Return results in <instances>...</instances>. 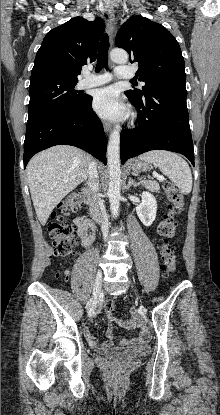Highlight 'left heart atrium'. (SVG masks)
Wrapping results in <instances>:
<instances>
[{
	"instance_id": "1",
	"label": "left heart atrium",
	"mask_w": 220,
	"mask_h": 415,
	"mask_svg": "<svg viewBox=\"0 0 220 415\" xmlns=\"http://www.w3.org/2000/svg\"><path fill=\"white\" fill-rule=\"evenodd\" d=\"M93 108L103 118L113 119L125 114L118 91L110 86L97 90L93 97Z\"/></svg>"
}]
</instances>
